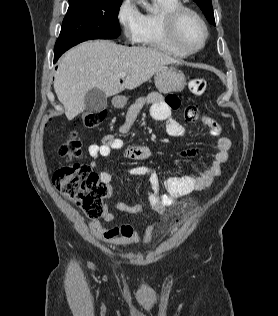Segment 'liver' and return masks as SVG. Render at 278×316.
I'll return each instance as SVG.
<instances>
[{
    "label": "liver",
    "mask_w": 278,
    "mask_h": 316,
    "mask_svg": "<svg viewBox=\"0 0 278 316\" xmlns=\"http://www.w3.org/2000/svg\"><path fill=\"white\" fill-rule=\"evenodd\" d=\"M175 63L178 61L156 49L126 47L107 40L87 41L60 59L54 90L67 119L72 120L84 111L89 90L98 88L106 97L133 90L162 67ZM121 72L126 73L122 83L118 77Z\"/></svg>",
    "instance_id": "liver-1"
}]
</instances>
